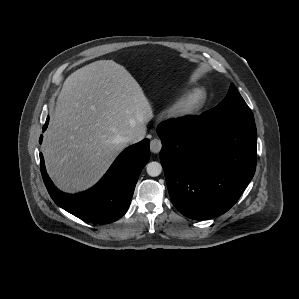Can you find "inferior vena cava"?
<instances>
[{"label": "inferior vena cava", "mask_w": 299, "mask_h": 299, "mask_svg": "<svg viewBox=\"0 0 299 299\" xmlns=\"http://www.w3.org/2000/svg\"><path fill=\"white\" fill-rule=\"evenodd\" d=\"M145 134H146V129L143 128V129H140L139 131L131 134V135H128V136H124L120 139V141L122 143H136L138 141H141L142 139H144L145 137Z\"/></svg>", "instance_id": "inferior-vena-cava-1"}]
</instances>
